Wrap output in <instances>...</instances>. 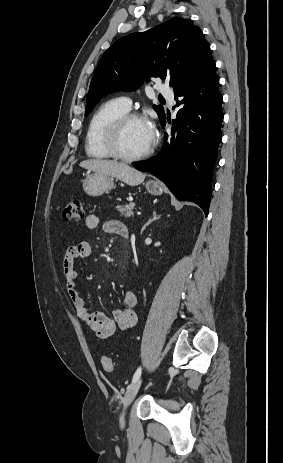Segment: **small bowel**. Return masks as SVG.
Returning a JSON list of instances; mask_svg holds the SVG:
<instances>
[{
  "instance_id": "small-bowel-1",
  "label": "small bowel",
  "mask_w": 283,
  "mask_h": 463,
  "mask_svg": "<svg viewBox=\"0 0 283 463\" xmlns=\"http://www.w3.org/2000/svg\"><path fill=\"white\" fill-rule=\"evenodd\" d=\"M84 225L87 230H95L99 225V219L95 215H89L86 217ZM103 230L105 233L124 238H127L129 235L127 227L122 222L116 220L107 221L103 225ZM91 254L92 246L88 242L69 246L63 258V275L65 287L75 308L77 317L97 337L105 339L111 337L117 331L127 332L135 326L137 317L134 309L137 297L135 292L126 291L122 297L123 308L113 310L110 317L101 312H92L87 307L85 299L77 290L76 280L78 273L75 268L76 259H87Z\"/></svg>"
}]
</instances>
